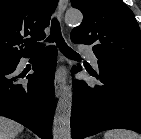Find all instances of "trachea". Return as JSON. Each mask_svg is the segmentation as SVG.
Here are the masks:
<instances>
[{"mask_svg": "<svg viewBox=\"0 0 141 139\" xmlns=\"http://www.w3.org/2000/svg\"><path fill=\"white\" fill-rule=\"evenodd\" d=\"M49 42H56L57 46L59 47L60 51L67 57L77 58L79 55L73 51L66 43L64 38L61 34V29L59 22L56 18L52 20L51 24V33L50 36L47 38Z\"/></svg>", "mask_w": 141, "mask_h": 139, "instance_id": "1", "label": "trachea"}]
</instances>
